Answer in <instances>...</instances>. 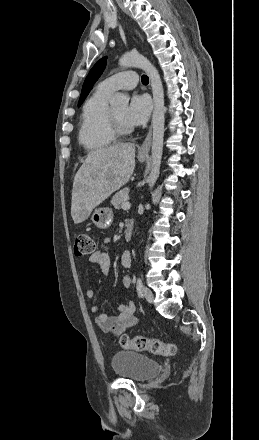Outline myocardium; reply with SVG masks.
Returning <instances> with one entry per match:
<instances>
[{"instance_id":"1","label":"myocardium","mask_w":259,"mask_h":440,"mask_svg":"<svg viewBox=\"0 0 259 440\" xmlns=\"http://www.w3.org/2000/svg\"><path fill=\"white\" fill-rule=\"evenodd\" d=\"M109 117L112 131L116 137L127 136L133 132V128L131 126L124 124L117 118L113 109H110Z\"/></svg>"}]
</instances>
